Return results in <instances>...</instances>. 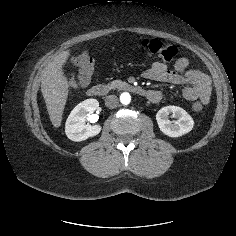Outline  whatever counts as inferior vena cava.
I'll return each mask as SVG.
<instances>
[{"instance_id": "obj_1", "label": "inferior vena cava", "mask_w": 236, "mask_h": 236, "mask_svg": "<svg viewBox=\"0 0 236 236\" xmlns=\"http://www.w3.org/2000/svg\"><path fill=\"white\" fill-rule=\"evenodd\" d=\"M119 100L118 97L115 95H108L105 99V105L106 107L110 109H114L118 106Z\"/></svg>"}]
</instances>
